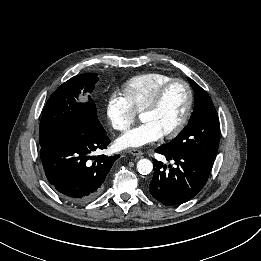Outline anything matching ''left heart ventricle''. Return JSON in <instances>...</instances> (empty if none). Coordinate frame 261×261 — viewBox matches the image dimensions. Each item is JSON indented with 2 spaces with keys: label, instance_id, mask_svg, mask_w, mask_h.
I'll list each match as a JSON object with an SVG mask.
<instances>
[{
  "label": "left heart ventricle",
  "instance_id": "1",
  "mask_svg": "<svg viewBox=\"0 0 261 261\" xmlns=\"http://www.w3.org/2000/svg\"><path fill=\"white\" fill-rule=\"evenodd\" d=\"M187 105V91L176 84L167 92L160 108L140 116L143 123L151 124L162 135L173 130L180 122Z\"/></svg>",
  "mask_w": 261,
  "mask_h": 261
}]
</instances>
